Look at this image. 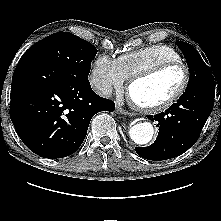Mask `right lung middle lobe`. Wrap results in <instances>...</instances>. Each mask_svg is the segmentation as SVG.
<instances>
[{
    "label": "right lung middle lobe",
    "instance_id": "dd1d6c3e",
    "mask_svg": "<svg viewBox=\"0 0 221 221\" xmlns=\"http://www.w3.org/2000/svg\"><path fill=\"white\" fill-rule=\"evenodd\" d=\"M97 49L69 32L52 34L31 46L23 56H32L51 63L67 73L88 79Z\"/></svg>",
    "mask_w": 221,
    "mask_h": 221
}]
</instances>
